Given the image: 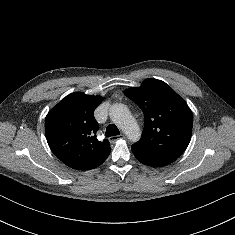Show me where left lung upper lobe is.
I'll return each mask as SVG.
<instances>
[{
  "label": "left lung upper lobe",
  "mask_w": 235,
  "mask_h": 235,
  "mask_svg": "<svg viewBox=\"0 0 235 235\" xmlns=\"http://www.w3.org/2000/svg\"><path fill=\"white\" fill-rule=\"evenodd\" d=\"M124 94L143 111L145 126L135 147L178 158L187 148L192 134L190 108L165 82L146 79L140 87L126 89Z\"/></svg>",
  "instance_id": "left-lung-upper-lobe-1"
}]
</instances>
